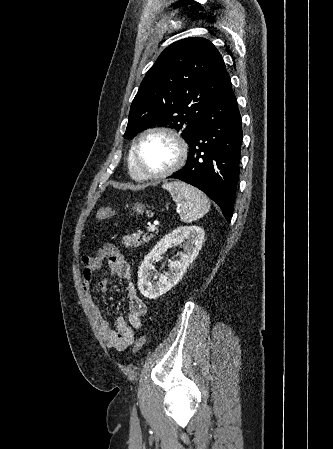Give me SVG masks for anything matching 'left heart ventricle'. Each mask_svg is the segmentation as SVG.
I'll list each match as a JSON object with an SVG mask.
<instances>
[{
  "label": "left heart ventricle",
  "mask_w": 333,
  "mask_h": 449,
  "mask_svg": "<svg viewBox=\"0 0 333 449\" xmlns=\"http://www.w3.org/2000/svg\"><path fill=\"white\" fill-rule=\"evenodd\" d=\"M139 157L144 172H159L174 162L176 147L173 141L166 136L150 135L141 143Z\"/></svg>",
  "instance_id": "left-heart-ventricle-1"
}]
</instances>
